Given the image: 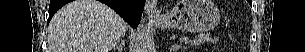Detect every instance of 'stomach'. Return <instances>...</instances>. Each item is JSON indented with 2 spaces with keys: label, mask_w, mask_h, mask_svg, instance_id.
Listing matches in <instances>:
<instances>
[{
  "label": "stomach",
  "mask_w": 305,
  "mask_h": 52,
  "mask_svg": "<svg viewBox=\"0 0 305 52\" xmlns=\"http://www.w3.org/2000/svg\"><path fill=\"white\" fill-rule=\"evenodd\" d=\"M219 20V9L212 0H180L155 25L161 29L204 32L213 29Z\"/></svg>",
  "instance_id": "1"
}]
</instances>
